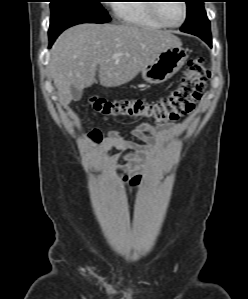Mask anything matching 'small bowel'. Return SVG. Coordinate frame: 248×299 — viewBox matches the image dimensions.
I'll use <instances>...</instances> for the list:
<instances>
[{"label": "small bowel", "instance_id": "obj_1", "mask_svg": "<svg viewBox=\"0 0 248 299\" xmlns=\"http://www.w3.org/2000/svg\"><path fill=\"white\" fill-rule=\"evenodd\" d=\"M182 130V125L170 122L160 126H151L140 123L132 128V134L144 145L127 140L120 136L116 131H110L103 137L100 132L93 131L88 134V141L98 146L99 151L104 152L108 148L119 151H129L140 155L144 160L150 161L154 155H160L166 150L173 138ZM112 169H117V158L112 157L108 161ZM139 166L138 160L131 156L129 158L128 169L133 170Z\"/></svg>", "mask_w": 248, "mask_h": 299}]
</instances>
